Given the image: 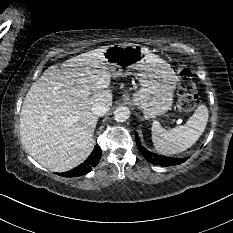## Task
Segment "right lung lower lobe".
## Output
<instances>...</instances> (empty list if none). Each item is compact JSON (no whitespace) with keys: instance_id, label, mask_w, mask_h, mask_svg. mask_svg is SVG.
I'll return each mask as SVG.
<instances>
[{"instance_id":"obj_1","label":"right lung lower lobe","mask_w":233,"mask_h":233,"mask_svg":"<svg viewBox=\"0 0 233 233\" xmlns=\"http://www.w3.org/2000/svg\"><path fill=\"white\" fill-rule=\"evenodd\" d=\"M101 153L102 152L100 147L96 145L91 155L87 158V160L84 163L74 168L73 170L58 174L64 177H77L83 174H87L92 170V168H94L98 164L101 158Z\"/></svg>"}]
</instances>
